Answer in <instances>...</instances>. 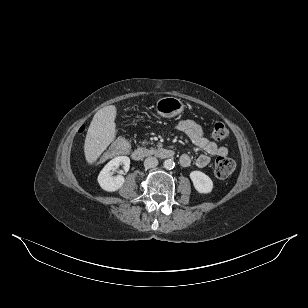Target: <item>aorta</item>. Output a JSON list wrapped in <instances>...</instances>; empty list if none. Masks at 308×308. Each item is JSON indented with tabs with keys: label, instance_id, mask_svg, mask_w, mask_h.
Wrapping results in <instances>:
<instances>
[{
	"label": "aorta",
	"instance_id": "obj_1",
	"mask_svg": "<svg viewBox=\"0 0 308 308\" xmlns=\"http://www.w3.org/2000/svg\"><path fill=\"white\" fill-rule=\"evenodd\" d=\"M164 168L167 169V170H171L174 168L175 166V163L172 159H167L164 161Z\"/></svg>",
	"mask_w": 308,
	"mask_h": 308
}]
</instances>
